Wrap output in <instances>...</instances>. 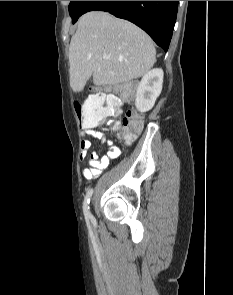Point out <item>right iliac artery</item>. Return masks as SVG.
<instances>
[{
  "label": "right iliac artery",
  "instance_id": "1",
  "mask_svg": "<svg viewBox=\"0 0 233 295\" xmlns=\"http://www.w3.org/2000/svg\"><path fill=\"white\" fill-rule=\"evenodd\" d=\"M92 194H93V189L91 188L87 191L84 198V202H83V212L87 220L91 218V213L89 211V203H90V198Z\"/></svg>",
  "mask_w": 233,
  "mask_h": 295
}]
</instances>
